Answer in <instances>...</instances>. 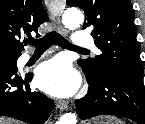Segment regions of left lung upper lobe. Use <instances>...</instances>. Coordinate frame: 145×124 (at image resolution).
Segmentation results:
<instances>
[{
  "label": "left lung upper lobe",
  "instance_id": "left-lung-upper-lobe-1",
  "mask_svg": "<svg viewBox=\"0 0 145 124\" xmlns=\"http://www.w3.org/2000/svg\"><path fill=\"white\" fill-rule=\"evenodd\" d=\"M86 15L83 29L91 28L96 46L102 51L79 65L94 78L114 70H128L143 76L134 12L130 0H67Z\"/></svg>",
  "mask_w": 145,
  "mask_h": 124
}]
</instances>
